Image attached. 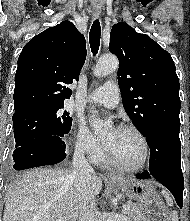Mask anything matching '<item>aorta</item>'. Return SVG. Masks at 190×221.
Wrapping results in <instances>:
<instances>
[{"instance_id": "762f6f07", "label": "aorta", "mask_w": 190, "mask_h": 221, "mask_svg": "<svg viewBox=\"0 0 190 221\" xmlns=\"http://www.w3.org/2000/svg\"><path fill=\"white\" fill-rule=\"evenodd\" d=\"M119 65L118 59L113 55H107L101 57L96 66L94 67L93 73L96 77L107 76L110 73H113L117 70ZM91 126L95 132V134L99 135L104 133L109 127L110 124L107 122H103L98 119L95 115V111L91 110Z\"/></svg>"}]
</instances>
